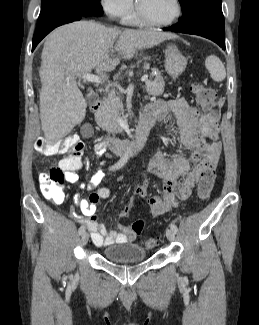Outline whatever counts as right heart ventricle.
I'll return each instance as SVG.
<instances>
[{"mask_svg":"<svg viewBox=\"0 0 259 325\" xmlns=\"http://www.w3.org/2000/svg\"><path fill=\"white\" fill-rule=\"evenodd\" d=\"M124 19L129 24H135L138 22V18L133 12H130L128 15H126Z\"/></svg>","mask_w":259,"mask_h":325,"instance_id":"right-heart-ventricle-1","label":"right heart ventricle"}]
</instances>
